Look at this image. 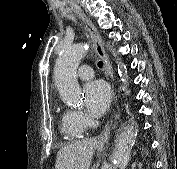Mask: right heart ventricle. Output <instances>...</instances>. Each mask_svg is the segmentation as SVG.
Returning <instances> with one entry per match:
<instances>
[{
    "label": "right heart ventricle",
    "mask_w": 177,
    "mask_h": 169,
    "mask_svg": "<svg viewBox=\"0 0 177 169\" xmlns=\"http://www.w3.org/2000/svg\"><path fill=\"white\" fill-rule=\"evenodd\" d=\"M61 129L67 139H77L83 135V132L77 130L74 125L69 110H65L61 115Z\"/></svg>",
    "instance_id": "e07e8e85"
}]
</instances>
